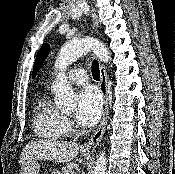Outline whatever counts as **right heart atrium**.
Masks as SVG:
<instances>
[{"mask_svg":"<svg viewBox=\"0 0 175 174\" xmlns=\"http://www.w3.org/2000/svg\"><path fill=\"white\" fill-rule=\"evenodd\" d=\"M66 125H67V128L71 127V122L68 119H66Z\"/></svg>","mask_w":175,"mask_h":174,"instance_id":"d8ad5b80","label":"right heart atrium"}]
</instances>
